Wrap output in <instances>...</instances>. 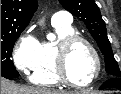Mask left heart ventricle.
I'll list each match as a JSON object with an SVG mask.
<instances>
[{"instance_id":"left-heart-ventricle-1","label":"left heart ventricle","mask_w":121,"mask_h":94,"mask_svg":"<svg viewBox=\"0 0 121 94\" xmlns=\"http://www.w3.org/2000/svg\"><path fill=\"white\" fill-rule=\"evenodd\" d=\"M68 71L76 83L90 81L96 72V63L91 51L81 42L75 43L68 54Z\"/></svg>"}]
</instances>
